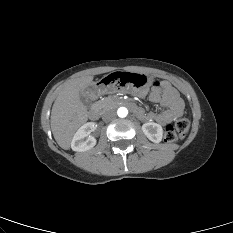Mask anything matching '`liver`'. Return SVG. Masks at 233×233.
Instances as JSON below:
<instances>
[{
	"label": "liver",
	"mask_w": 233,
	"mask_h": 233,
	"mask_svg": "<svg viewBox=\"0 0 233 233\" xmlns=\"http://www.w3.org/2000/svg\"><path fill=\"white\" fill-rule=\"evenodd\" d=\"M93 85V76H82L69 81L58 94L51 111V130L58 145L70 148L75 132L88 119L86 106L80 94Z\"/></svg>",
	"instance_id": "obj_1"
}]
</instances>
